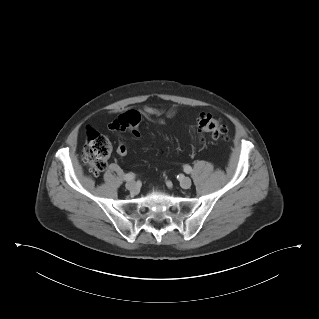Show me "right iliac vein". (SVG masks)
<instances>
[{
  "mask_svg": "<svg viewBox=\"0 0 319 319\" xmlns=\"http://www.w3.org/2000/svg\"><path fill=\"white\" fill-rule=\"evenodd\" d=\"M126 188L130 191V192H137L138 191V185L135 181H129L126 183Z\"/></svg>",
  "mask_w": 319,
  "mask_h": 319,
  "instance_id": "1",
  "label": "right iliac vein"
}]
</instances>
